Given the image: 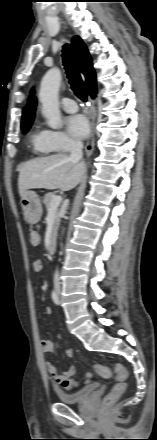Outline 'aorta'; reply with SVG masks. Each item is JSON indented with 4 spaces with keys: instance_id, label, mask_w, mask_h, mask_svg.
<instances>
[{
    "instance_id": "1",
    "label": "aorta",
    "mask_w": 157,
    "mask_h": 440,
    "mask_svg": "<svg viewBox=\"0 0 157 440\" xmlns=\"http://www.w3.org/2000/svg\"><path fill=\"white\" fill-rule=\"evenodd\" d=\"M61 79V71L58 68L49 69L42 79L39 91L42 113L47 120L48 126L53 129H57L61 125L58 101Z\"/></svg>"
}]
</instances>
